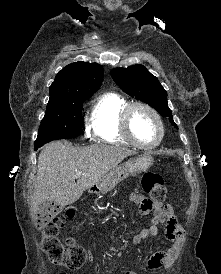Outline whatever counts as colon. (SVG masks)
<instances>
[{"label": "colon", "mask_w": 221, "mask_h": 274, "mask_svg": "<svg viewBox=\"0 0 221 274\" xmlns=\"http://www.w3.org/2000/svg\"><path fill=\"white\" fill-rule=\"evenodd\" d=\"M142 187L149 195L151 201L162 202L166 197L163 179L157 174H145L142 179ZM73 217L74 212L68 211L67 218ZM63 225L64 221L61 218H55L42 226V250L54 264L68 269H78L84 265L89 255L73 239H69L66 244L59 240L58 234Z\"/></svg>", "instance_id": "obj_1"}]
</instances>
